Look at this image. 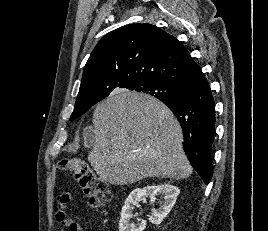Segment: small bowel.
<instances>
[{
	"instance_id": "obj_1",
	"label": "small bowel",
	"mask_w": 268,
	"mask_h": 231,
	"mask_svg": "<svg viewBox=\"0 0 268 231\" xmlns=\"http://www.w3.org/2000/svg\"><path fill=\"white\" fill-rule=\"evenodd\" d=\"M70 193H62L58 196L56 221L63 226L67 231H82L79 223L71 218L66 211V204L71 200Z\"/></svg>"
}]
</instances>
